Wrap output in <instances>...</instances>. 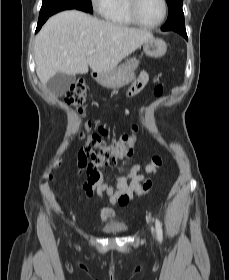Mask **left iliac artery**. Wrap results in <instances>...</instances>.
Wrapping results in <instances>:
<instances>
[{
    "label": "left iliac artery",
    "instance_id": "obj_1",
    "mask_svg": "<svg viewBox=\"0 0 229 280\" xmlns=\"http://www.w3.org/2000/svg\"><path fill=\"white\" fill-rule=\"evenodd\" d=\"M155 224H156L157 238H158L159 242H161L163 239V232H162V226H161L159 219H156Z\"/></svg>",
    "mask_w": 229,
    "mask_h": 280
}]
</instances>
